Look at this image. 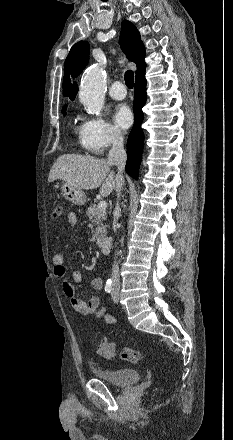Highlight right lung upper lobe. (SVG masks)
<instances>
[{
	"mask_svg": "<svg viewBox=\"0 0 233 440\" xmlns=\"http://www.w3.org/2000/svg\"><path fill=\"white\" fill-rule=\"evenodd\" d=\"M119 42L127 58L137 65L136 78L143 75L146 67L144 62L145 49L138 30L130 21L124 20L122 22ZM89 50L88 42L80 41L73 45L65 60L63 95L71 100H74L78 88L76 82L71 84L69 76L74 78L82 72L89 60ZM65 109L66 106L62 110Z\"/></svg>",
	"mask_w": 233,
	"mask_h": 440,
	"instance_id": "cb5924a9",
	"label": "right lung upper lobe"
}]
</instances>
